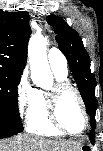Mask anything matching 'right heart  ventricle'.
I'll use <instances>...</instances> for the list:
<instances>
[{
	"label": "right heart ventricle",
	"instance_id": "e07e8e85",
	"mask_svg": "<svg viewBox=\"0 0 103 151\" xmlns=\"http://www.w3.org/2000/svg\"><path fill=\"white\" fill-rule=\"evenodd\" d=\"M52 68L56 81L67 82V71ZM68 83V82H67ZM27 132L45 137H62L64 133L52 127L47 116L46 92L41 89L33 91V99L25 118Z\"/></svg>",
	"mask_w": 103,
	"mask_h": 151
}]
</instances>
